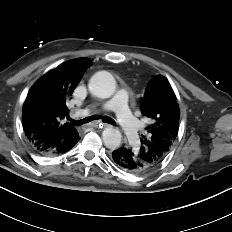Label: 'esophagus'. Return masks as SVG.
I'll return each instance as SVG.
<instances>
[{"instance_id": "esophagus-1", "label": "esophagus", "mask_w": 232, "mask_h": 232, "mask_svg": "<svg viewBox=\"0 0 232 232\" xmlns=\"http://www.w3.org/2000/svg\"><path fill=\"white\" fill-rule=\"evenodd\" d=\"M91 127H95V128H106V127H110L109 124L106 123H99V122H93L90 124Z\"/></svg>"}]
</instances>
